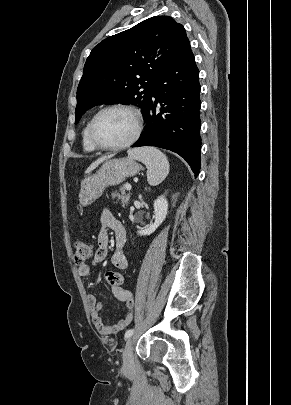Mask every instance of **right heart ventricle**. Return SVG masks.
Returning a JSON list of instances; mask_svg holds the SVG:
<instances>
[{
  "label": "right heart ventricle",
  "instance_id": "1",
  "mask_svg": "<svg viewBox=\"0 0 291 405\" xmlns=\"http://www.w3.org/2000/svg\"><path fill=\"white\" fill-rule=\"evenodd\" d=\"M88 124L89 123H87L82 130V148L85 152L91 153L96 149L91 145L88 139Z\"/></svg>",
  "mask_w": 291,
  "mask_h": 405
}]
</instances>
